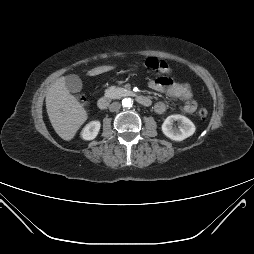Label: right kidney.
Returning a JSON list of instances; mask_svg holds the SVG:
<instances>
[{
	"mask_svg": "<svg viewBox=\"0 0 254 254\" xmlns=\"http://www.w3.org/2000/svg\"><path fill=\"white\" fill-rule=\"evenodd\" d=\"M101 123L99 121H91L82 130L81 136L84 140H93L98 135Z\"/></svg>",
	"mask_w": 254,
	"mask_h": 254,
	"instance_id": "1",
	"label": "right kidney"
}]
</instances>
